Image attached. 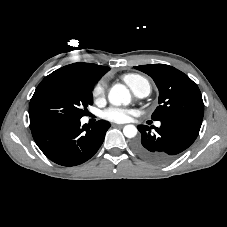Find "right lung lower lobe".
I'll return each instance as SVG.
<instances>
[{"instance_id":"98d812e1","label":"right lung lower lobe","mask_w":227,"mask_h":227,"mask_svg":"<svg viewBox=\"0 0 227 227\" xmlns=\"http://www.w3.org/2000/svg\"><path fill=\"white\" fill-rule=\"evenodd\" d=\"M110 124L97 121L84 124L80 119L63 123H46L31 128L41 151L62 166L79 165L90 159L100 148Z\"/></svg>"}]
</instances>
